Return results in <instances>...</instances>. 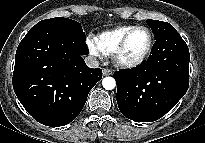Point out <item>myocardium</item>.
Masks as SVG:
<instances>
[{"mask_svg":"<svg viewBox=\"0 0 205 143\" xmlns=\"http://www.w3.org/2000/svg\"><path fill=\"white\" fill-rule=\"evenodd\" d=\"M139 29L145 30L148 34L149 41H148L147 48H146L145 52L142 54V56L139 59H137L135 61H130V62L123 61L121 59V56H122V54L125 50L128 39L132 35L133 32H135L136 30H139ZM152 47H153V34H152L151 30L147 26H144V25L134 26L129 31H127L125 33V35L122 37L121 41L119 42V44L117 45V47L115 48L113 53L111 54L112 55V61H113L115 66H117L121 69H134V68H137L147 60V58L149 57V55L152 51Z\"/></svg>","mask_w":205,"mask_h":143,"instance_id":"obj_1","label":"myocardium"}]
</instances>
